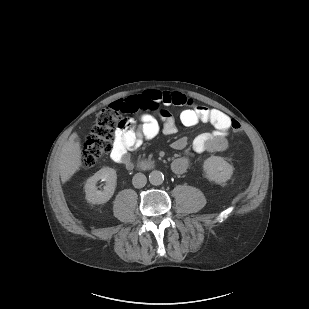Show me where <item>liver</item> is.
Returning a JSON list of instances; mask_svg holds the SVG:
<instances>
[{
    "label": "liver",
    "instance_id": "liver-1",
    "mask_svg": "<svg viewBox=\"0 0 309 309\" xmlns=\"http://www.w3.org/2000/svg\"><path fill=\"white\" fill-rule=\"evenodd\" d=\"M81 144L76 132L72 133L63 146L59 158L62 183L67 182L81 167Z\"/></svg>",
    "mask_w": 309,
    "mask_h": 309
}]
</instances>
